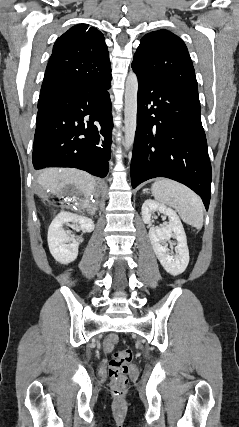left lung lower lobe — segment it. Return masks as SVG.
<instances>
[{
  "label": "left lung lower lobe",
  "instance_id": "left-lung-lower-lobe-1",
  "mask_svg": "<svg viewBox=\"0 0 239 427\" xmlns=\"http://www.w3.org/2000/svg\"><path fill=\"white\" fill-rule=\"evenodd\" d=\"M132 68L139 82L132 187L170 178L195 191L208 210L212 172L198 95Z\"/></svg>",
  "mask_w": 239,
  "mask_h": 427
}]
</instances>
